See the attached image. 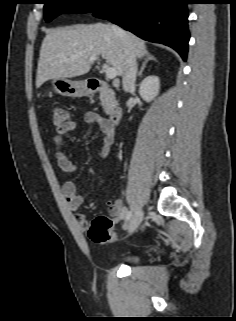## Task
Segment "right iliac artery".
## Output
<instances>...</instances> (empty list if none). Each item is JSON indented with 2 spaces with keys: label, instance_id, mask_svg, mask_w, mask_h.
Segmentation results:
<instances>
[{
  "label": "right iliac artery",
  "instance_id": "obj_1",
  "mask_svg": "<svg viewBox=\"0 0 236 321\" xmlns=\"http://www.w3.org/2000/svg\"><path fill=\"white\" fill-rule=\"evenodd\" d=\"M131 217V211H125V219L128 220Z\"/></svg>",
  "mask_w": 236,
  "mask_h": 321
}]
</instances>
